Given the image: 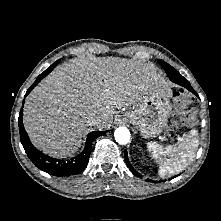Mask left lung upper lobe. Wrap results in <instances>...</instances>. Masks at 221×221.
Instances as JSON below:
<instances>
[{"label":"left lung upper lobe","mask_w":221,"mask_h":221,"mask_svg":"<svg viewBox=\"0 0 221 221\" xmlns=\"http://www.w3.org/2000/svg\"><path fill=\"white\" fill-rule=\"evenodd\" d=\"M158 62L165 69L167 75L169 76L171 80L178 79L182 76L178 73L176 69H174L172 66L167 64L165 61L159 59Z\"/></svg>","instance_id":"left-lung-upper-lobe-1"}]
</instances>
